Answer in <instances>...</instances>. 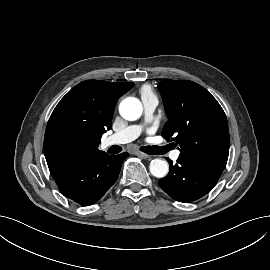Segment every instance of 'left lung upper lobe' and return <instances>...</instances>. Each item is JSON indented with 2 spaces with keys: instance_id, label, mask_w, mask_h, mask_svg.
Returning a JSON list of instances; mask_svg holds the SVG:
<instances>
[{
  "instance_id": "1",
  "label": "left lung upper lobe",
  "mask_w": 270,
  "mask_h": 270,
  "mask_svg": "<svg viewBox=\"0 0 270 270\" xmlns=\"http://www.w3.org/2000/svg\"><path fill=\"white\" fill-rule=\"evenodd\" d=\"M159 90L169 119L162 136L165 139L174 136L180 156L226 166L229 129L217 100L192 81L166 79L159 84Z\"/></svg>"
}]
</instances>
